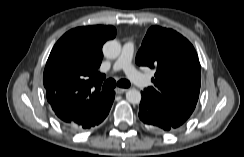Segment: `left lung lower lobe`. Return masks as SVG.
<instances>
[{"label":"left lung lower lobe","mask_w":244,"mask_h":157,"mask_svg":"<svg viewBox=\"0 0 244 157\" xmlns=\"http://www.w3.org/2000/svg\"><path fill=\"white\" fill-rule=\"evenodd\" d=\"M139 118L151 130L158 133L172 132L178 128L176 124L169 121L153 100L145 97L144 94L139 106Z\"/></svg>","instance_id":"left-lung-lower-lobe-1"}]
</instances>
